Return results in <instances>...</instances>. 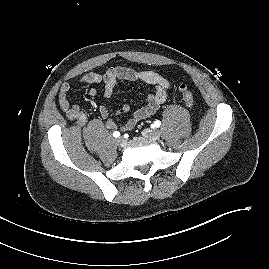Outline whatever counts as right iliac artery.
<instances>
[{
	"mask_svg": "<svg viewBox=\"0 0 269 269\" xmlns=\"http://www.w3.org/2000/svg\"><path fill=\"white\" fill-rule=\"evenodd\" d=\"M113 136H114L115 138H117V137L120 136V133H119L118 131H114Z\"/></svg>",
	"mask_w": 269,
	"mask_h": 269,
	"instance_id": "obj_1",
	"label": "right iliac artery"
}]
</instances>
